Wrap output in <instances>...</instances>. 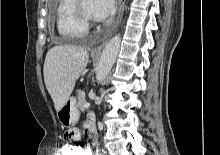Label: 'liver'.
Listing matches in <instances>:
<instances>
[{
  "instance_id": "obj_1",
  "label": "liver",
  "mask_w": 220,
  "mask_h": 155,
  "mask_svg": "<svg viewBox=\"0 0 220 155\" xmlns=\"http://www.w3.org/2000/svg\"><path fill=\"white\" fill-rule=\"evenodd\" d=\"M88 60V51L77 46L57 45L47 52L44 82L57 112L69 99Z\"/></svg>"
}]
</instances>
